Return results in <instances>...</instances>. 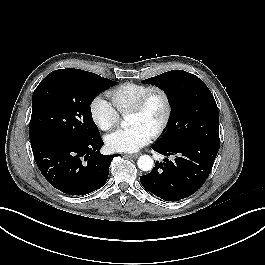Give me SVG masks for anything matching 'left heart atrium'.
Masks as SVG:
<instances>
[{"label": "left heart atrium", "instance_id": "39dd6f15", "mask_svg": "<svg viewBox=\"0 0 265 265\" xmlns=\"http://www.w3.org/2000/svg\"><path fill=\"white\" fill-rule=\"evenodd\" d=\"M152 138V133L142 125L118 129L105 137L107 148L112 152H136Z\"/></svg>", "mask_w": 265, "mask_h": 265}]
</instances>
